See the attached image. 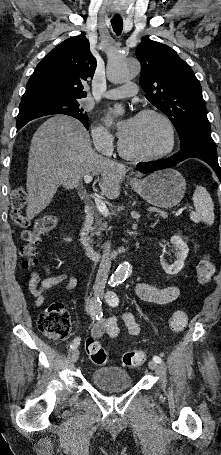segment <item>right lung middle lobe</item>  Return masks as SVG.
<instances>
[{
    "instance_id": "1",
    "label": "right lung middle lobe",
    "mask_w": 221,
    "mask_h": 455,
    "mask_svg": "<svg viewBox=\"0 0 221 455\" xmlns=\"http://www.w3.org/2000/svg\"><path fill=\"white\" fill-rule=\"evenodd\" d=\"M78 99H64L53 102L19 107L20 111L17 117V126L29 122L38 117L51 114H65L80 120L88 129V116L80 107Z\"/></svg>"
}]
</instances>
